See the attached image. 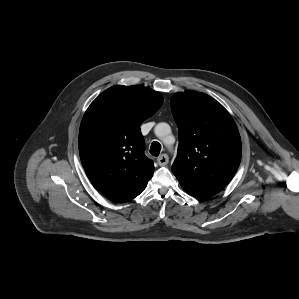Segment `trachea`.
I'll return each mask as SVG.
<instances>
[{"mask_svg": "<svg viewBox=\"0 0 299 299\" xmlns=\"http://www.w3.org/2000/svg\"><path fill=\"white\" fill-rule=\"evenodd\" d=\"M160 151H161L160 143L157 141L152 142L151 147H150V154L153 156H159Z\"/></svg>", "mask_w": 299, "mask_h": 299, "instance_id": "trachea-1", "label": "trachea"}]
</instances>
